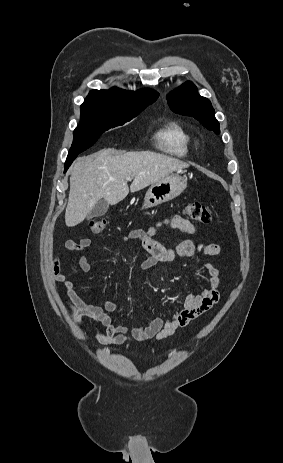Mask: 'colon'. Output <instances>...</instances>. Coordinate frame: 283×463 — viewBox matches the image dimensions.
<instances>
[{
    "label": "colon",
    "mask_w": 283,
    "mask_h": 463,
    "mask_svg": "<svg viewBox=\"0 0 283 463\" xmlns=\"http://www.w3.org/2000/svg\"><path fill=\"white\" fill-rule=\"evenodd\" d=\"M185 213L192 220L201 223L209 224L213 220L212 211L205 205L199 202H188L185 206ZM106 219L104 217H94L89 219V228L94 233H102L106 227Z\"/></svg>",
    "instance_id": "obj_1"
}]
</instances>
